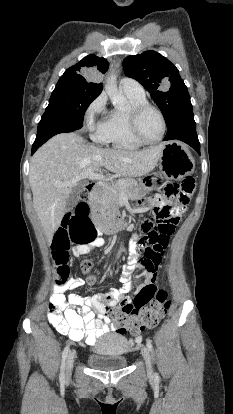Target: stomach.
<instances>
[{"label":"stomach","instance_id":"stomach-1","mask_svg":"<svg viewBox=\"0 0 233 414\" xmlns=\"http://www.w3.org/2000/svg\"><path fill=\"white\" fill-rule=\"evenodd\" d=\"M159 166L162 173L171 179H181L190 174L194 169V160L191 154L181 145L175 142H166L159 158ZM157 174L156 172L154 173ZM154 174L147 173L143 177L145 187H152L150 180L154 179ZM147 191L144 187L132 188L129 198L134 200L141 197Z\"/></svg>","mask_w":233,"mask_h":414}]
</instances>
